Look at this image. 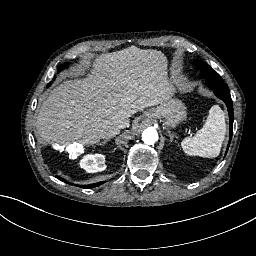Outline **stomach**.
<instances>
[{"label":"stomach","mask_w":256,"mask_h":256,"mask_svg":"<svg viewBox=\"0 0 256 256\" xmlns=\"http://www.w3.org/2000/svg\"><path fill=\"white\" fill-rule=\"evenodd\" d=\"M148 117L160 120L166 127L174 128L186 119V106L181 100L170 97L157 107L150 109Z\"/></svg>","instance_id":"obj_1"}]
</instances>
